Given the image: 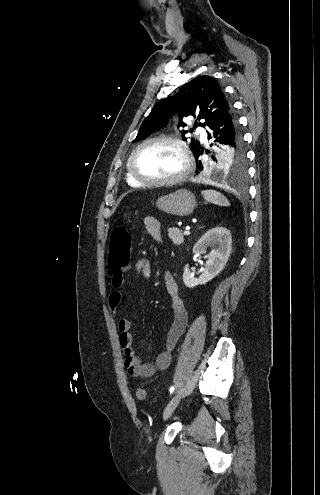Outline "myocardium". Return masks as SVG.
<instances>
[{
  "label": "myocardium",
  "instance_id": "1",
  "mask_svg": "<svg viewBox=\"0 0 320 495\" xmlns=\"http://www.w3.org/2000/svg\"><path fill=\"white\" fill-rule=\"evenodd\" d=\"M154 142H167L172 145H174L178 151L180 152L182 156V161H183V167L181 171L175 175L174 177L171 178H165V179H147L142 177L140 174L135 169V157L136 154L146 145L154 143ZM127 168L128 172L131 175V177L138 182L139 184L143 186H170V185H175L177 183H180L183 181L187 175L190 172L191 169V158H190V153L189 150L186 146V144L173 136L169 135H159V136H154L151 138H148L144 141H142L140 144H138L131 154L129 155L128 161H127Z\"/></svg>",
  "mask_w": 320,
  "mask_h": 495
}]
</instances>
